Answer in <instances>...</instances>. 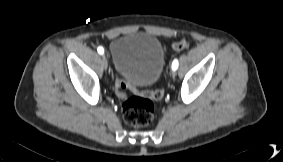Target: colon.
I'll list each match as a JSON object with an SVG mask.
<instances>
[{
  "label": "colon",
  "instance_id": "obj_1",
  "mask_svg": "<svg viewBox=\"0 0 283 162\" xmlns=\"http://www.w3.org/2000/svg\"><path fill=\"white\" fill-rule=\"evenodd\" d=\"M189 46L187 40L182 39L173 44L175 51H181ZM128 90H134L132 86L124 80H117L116 91L122 101V114L124 121L132 127L148 126L155 116V100L163 97V90L136 92L133 96L127 94Z\"/></svg>",
  "mask_w": 283,
  "mask_h": 162
}]
</instances>
